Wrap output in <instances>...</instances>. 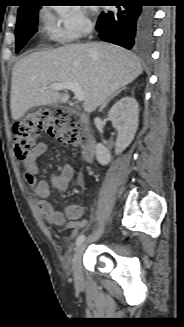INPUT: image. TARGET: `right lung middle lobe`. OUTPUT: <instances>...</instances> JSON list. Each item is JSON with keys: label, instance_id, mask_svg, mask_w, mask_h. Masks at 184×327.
I'll return each instance as SVG.
<instances>
[{"label": "right lung middle lobe", "instance_id": "right-lung-middle-lobe-1", "mask_svg": "<svg viewBox=\"0 0 184 327\" xmlns=\"http://www.w3.org/2000/svg\"><path fill=\"white\" fill-rule=\"evenodd\" d=\"M40 6L18 11L17 24L15 27V52H19L27 41L37 32L38 11Z\"/></svg>", "mask_w": 184, "mask_h": 327}]
</instances>
